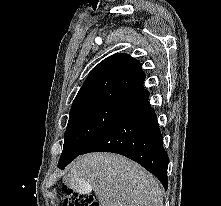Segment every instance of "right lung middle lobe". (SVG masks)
<instances>
[{
	"label": "right lung middle lobe",
	"mask_w": 221,
	"mask_h": 206,
	"mask_svg": "<svg viewBox=\"0 0 221 206\" xmlns=\"http://www.w3.org/2000/svg\"><path fill=\"white\" fill-rule=\"evenodd\" d=\"M125 110L126 108L112 105H92L71 110L58 166L75 159Z\"/></svg>",
	"instance_id": "1"
}]
</instances>
